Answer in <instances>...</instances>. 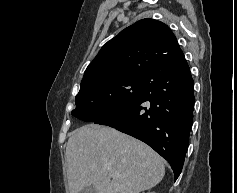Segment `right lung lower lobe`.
I'll use <instances>...</instances> for the list:
<instances>
[{
  "label": "right lung lower lobe",
  "instance_id": "1",
  "mask_svg": "<svg viewBox=\"0 0 237 193\" xmlns=\"http://www.w3.org/2000/svg\"><path fill=\"white\" fill-rule=\"evenodd\" d=\"M194 82L182 50L161 60L147 75L138 95L117 111L95 120L152 147L182 171L193 122Z\"/></svg>",
  "mask_w": 237,
  "mask_h": 193
}]
</instances>
